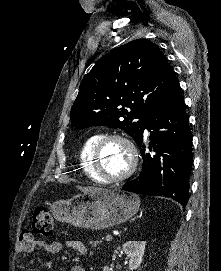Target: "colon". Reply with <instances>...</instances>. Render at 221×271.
<instances>
[{
  "label": "colon",
  "mask_w": 221,
  "mask_h": 271,
  "mask_svg": "<svg viewBox=\"0 0 221 271\" xmlns=\"http://www.w3.org/2000/svg\"><path fill=\"white\" fill-rule=\"evenodd\" d=\"M53 219L47 208H37L32 222L21 234L24 242H30L35 235L50 234L53 231Z\"/></svg>",
  "instance_id": "colon-1"
}]
</instances>
